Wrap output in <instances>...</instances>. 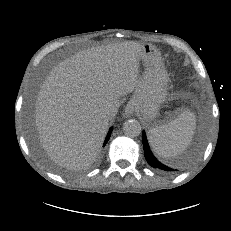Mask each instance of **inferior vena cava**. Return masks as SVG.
I'll return each instance as SVG.
<instances>
[{"instance_id":"inferior-vena-cava-1","label":"inferior vena cava","mask_w":231,"mask_h":231,"mask_svg":"<svg viewBox=\"0 0 231 231\" xmlns=\"http://www.w3.org/2000/svg\"><path fill=\"white\" fill-rule=\"evenodd\" d=\"M112 109H105L104 114L109 115L111 114Z\"/></svg>"}]
</instances>
